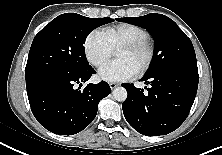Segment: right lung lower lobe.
I'll list each match as a JSON object with an SVG mask.
<instances>
[{"label":"right lung lower lobe","mask_w":222,"mask_h":155,"mask_svg":"<svg viewBox=\"0 0 222 155\" xmlns=\"http://www.w3.org/2000/svg\"><path fill=\"white\" fill-rule=\"evenodd\" d=\"M94 73L90 66L73 75L48 76L26 87L37 121L60 135H73L86 128L96 117L99 101L111 93L104 81L80 90Z\"/></svg>","instance_id":"98d812e1"}]
</instances>
